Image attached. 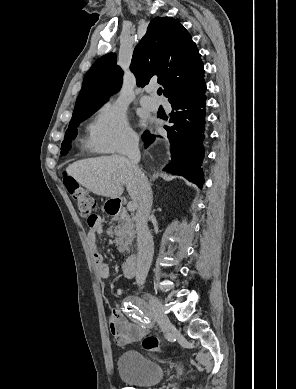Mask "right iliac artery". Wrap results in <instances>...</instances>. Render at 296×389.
Returning a JSON list of instances; mask_svg holds the SVG:
<instances>
[{"instance_id": "1", "label": "right iliac artery", "mask_w": 296, "mask_h": 389, "mask_svg": "<svg viewBox=\"0 0 296 389\" xmlns=\"http://www.w3.org/2000/svg\"><path fill=\"white\" fill-rule=\"evenodd\" d=\"M124 307H125V311L128 313V315L130 316L131 314H138L137 313V310L139 308H149L145 302H143L141 299L139 298H134V297H129L125 302H124ZM139 315V314H138ZM149 319V316L147 315V318L146 319H141L144 321V324H146V321ZM132 320H135V319H132Z\"/></svg>"}]
</instances>
